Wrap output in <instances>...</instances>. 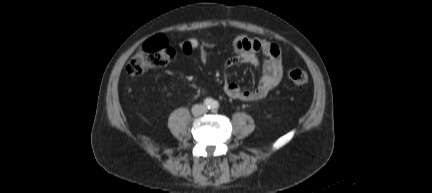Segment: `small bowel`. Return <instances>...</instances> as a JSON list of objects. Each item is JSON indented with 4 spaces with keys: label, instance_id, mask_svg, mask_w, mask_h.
I'll return each mask as SVG.
<instances>
[{
    "label": "small bowel",
    "instance_id": "obj_1",
    "mask_svg": "<svg viewBox=\"0 0 432 193\" xmlns=\"http://www.w3.org/2000/svg\"><path fill=\"white\" fill-rule=\"evenodd\" d=\"M205 40L189 38L182 41L179 46L181 51L191 56L200 50L201 57L208 61L206 53L202 51L205 46H211ZM236 56L225 63V70L237 63H250L262 70L261 78L253 89H243L234 82L224 81V92L231 98L242 101H258L266 97L268 92L279 84L283 77L282 53L279 45L264 39H252L247 35H239L234 41ZM261 54L262 59L258 57Z\"/></svg>",
    "mask_w": 432,
    "mask_h": 193
}]
</instances>
